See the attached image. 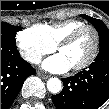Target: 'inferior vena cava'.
Masks as SVG:
<instances>
[{"instance_id":"1","label":"inferior vena cava","mask_w":109,"mask_h":109,"mask_svg":"<svg viewBox=\"0 0 109 109\" xmlns=\"http://www.w3.org/2000/svg\"><path fill=\"white\" fill-rule=\"evenodd\" d=\"M33 62L36 63V64H39L41 62V57L40 56L34 57Z\"/></svg>"}]
</instances>
